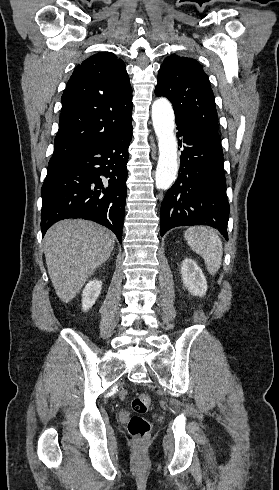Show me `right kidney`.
<instances>
[{
	"label": "right kidney",
	"instance_id": "right-kidney-1",
	"mask_svg": "<svg viewBox=\"0 0 279 490\" xmlns=\"http://www.w3.org/2000/svg\"><path fill=\"white\" fill-rule=\"evenodd\" d=\"M101 290L102 282H100V280H92V282H88V284H86L82 292L83 312H87V310H90V308L94 306L96 300H98L100 296Z\"/></svg>",
	"mask_w": 279,
	"mask_h": 490
}]
</instances>
